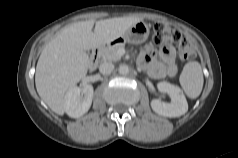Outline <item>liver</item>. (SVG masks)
Segmentation results:
<instances>
[{
  "label": "liver",
  "mask_w": 238,
  "mask_h": 158,
  "mask_svg": "<svg viewBox=\"0 0 238 158\" xmlns=\"http://www.w3.org/2000/svg\"><path fill=\"white\" fill-rule=\"evenodd\" d=\"M139 21L138 17H118L63 28L44 47L37 62L35 85L41 99L63 115L67 92L87 74L91 63L87 51L111 43Z\"/></svg>",
  "instance_id": "liver-1"
}]
</instances>
